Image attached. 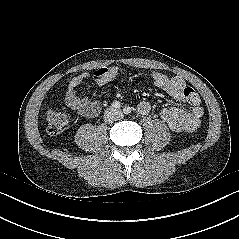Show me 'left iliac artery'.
Returning a JSON list of instances; mask_svg holds the SVG:
<instances>
[{"instance_id": "44dca946", "label": "left iliac artery", "mask_w": 239, "mask_h": 239, "mask_svg": "<svg viewBox=\"0 0 239 239\" xmlns=\"http://www.w3.org/2000/svg\"><path fill=\"white\" fill-rule=\"evenodd\" d=\"M123 112H124V114L128 115V114L131 113V108H130V107H125V108L123 109Z\"/></svg>"}]
</instances>
